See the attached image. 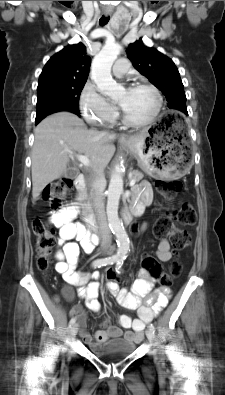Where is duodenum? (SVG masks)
Segmentation results:
<instances>
[{
  "instance_id": "obj_1",
  "label": "duodenum",
  "mask_w": 225,
  "mask_h": 395,
  "mask_svg": "<svg viewBox=\"0 0 225 395\" xmlns=\"http://www.w3.org/2000/svg\"><path fill=\"white\" fill-rule=\"evenodd\" d=\"M75 185H76L77 191L79 192V196H81L84 189H85V179H84L83 175L77 176V178L75 180ZM133 213L139 214L140 212L133 209ZM124 220L126 223L130 222V220H131V213L130 212H126L124 214ZM86 222H87L91 231H93V232L98 231V228H99L98 223H97L96 219L91 214H86Z\"/></svg>"
}]
</instances>
